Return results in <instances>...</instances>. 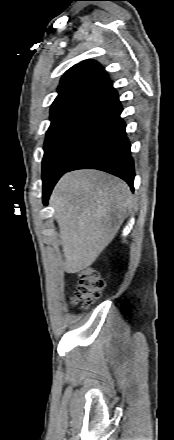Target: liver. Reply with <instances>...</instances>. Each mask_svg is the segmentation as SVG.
<instances>
[{"instance_id":"1","label":"liver","mask_w":174,"mask_h":440,"mask_svg":"<svg viewBox=\"0 0 174 440\" xmlns=\"http://www.w3.org/2000/svg\"><path fill=\"white\" fill-rule=\"evenodd\" d=\"M50 205L59 226L64 269L89 267L118 233L133 207L129 186L97 170L66 173L57 182Z\"/></svg>"}]
</instances>
